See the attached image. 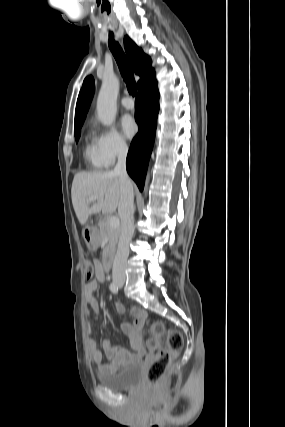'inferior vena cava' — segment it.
<instances>
[{
    "instance_id": "1",
    "label": "inferior vena cava",
    "mask_w": 285,
    "mask_h": 427,
    "mask_svg": "<svg viewBox=\"0 0 285 427\" xmlns=\"http://www.w3.org/2000/svg\"><path fill=\"white\" fill-rule=\"evenodd\" d=\"M128 147L121 145L118 152V161L114 168V173L119 176L121 197L118 206L121 218V234L118 243L117 253L113 262V275H125V267L129 256V244L134 234V192L131 181L126 171V157Z\"/></svg>"
}]
</instances>
